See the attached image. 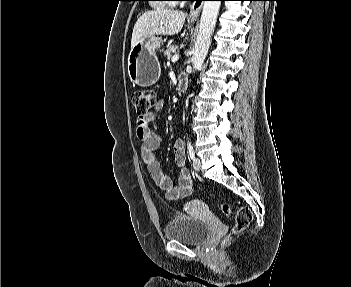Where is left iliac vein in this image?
<instances>
[{
	"label": "left iliac vein",
	"mask_w": 351,
	"mask_h": 287,
	"mask_svg": "<svg viewBox=\"0 0 351 287\" xmlns=\"http://www.w3.org/2000/svg\"><path fill=\"white\" fill-rule=\"evenodd\" d=\"M192 166H193V169H194L195 171H200V169H201V161H200V159L197 158V157H195V158L193 159Z\"/></svg>",
	"instance_id": "left-iliac-vein-1"
}]
</instances>
